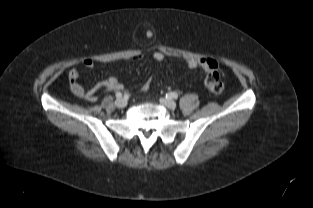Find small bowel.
<instances>
[{"instance_id":"c3829d8e","label":"small bowel","mask_w":313,"mask_h":208,"mask_svg":"<svg viewBox=\"0 0 313 208\" xmlns=\"http://www.w3.org/2000/svg\"><path fill=\"white\" fill-rule=\"evenodd\" d=\"M153 58L156 61H162L164 55L161 52L153 53ZM135 60L142 59V55H136L133 57ZM187 66L190 69L201 68L208 73L211 69H217V62L209 57L201 59L190 58L187 60ZM81 64L86 68H92L94 66V60L91 58H85L81 61ZM69 83L72 93L88 102H95L98 99V93L101 91L122 90L123 85L118 81L115 76H110L107 80L95 85L92 89L87 90L79 83V71L73 68L69 72Z\"/></svg>"}]
</instances>
